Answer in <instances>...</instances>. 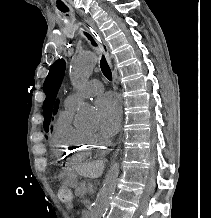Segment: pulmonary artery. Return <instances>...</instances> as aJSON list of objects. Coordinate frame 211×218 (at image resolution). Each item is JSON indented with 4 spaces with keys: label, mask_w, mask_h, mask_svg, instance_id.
Wrapping results in <instances>:
<instances>
[{
    "label": "pulmonary artery",
    "mask_w": 211,
    "mask_h": 218,
    "mask_svg": "<svg viewBox=\"0 0 211 218\" xmlns=\"http://www.w3.org/2000/svg\"><path fill=\"white\" fill-rule=\"evenodd\" d=\"M103 91V84L99 80H92L88 82L81 91V96L91 97ZM78 101L77 94H70L64 101L65 108H74Z\"/></svg>",
    "instance_id": "1"
}]
</instances>
